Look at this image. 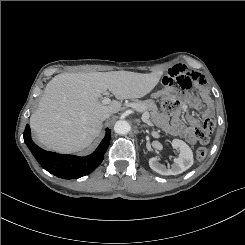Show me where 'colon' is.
<instances>
[{"label": "colon", "instance_id": "obj_1", "mask_svg": "<svg viewBox=\"0 0 245 245\" xmlns=\"http://www.w3.org/2000/svg\"><path fill=\"white\" fill-rule=\"evenodd\" d=\"M160 105L166 112H173L178 107V100L171 95H163L160 99ZM215 128L214 119L208 117L204 119L202 125L196 130V138L201 145H206L209 142L210 135ZM207 156V150L201 146L196 151V158L198 162L203 161Z\"/></svg>", "mask_w": 245, "mask_h": 245}]
</instances>
